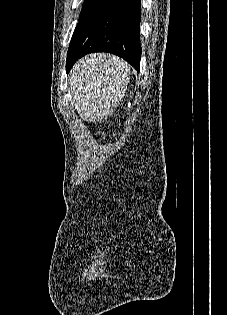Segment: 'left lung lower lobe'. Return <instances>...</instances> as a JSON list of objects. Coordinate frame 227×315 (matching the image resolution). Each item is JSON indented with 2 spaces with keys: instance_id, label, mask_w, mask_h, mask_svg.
<instances>
[{
  "instance_id": "obj_1",
  "label": "left lung lower lobe",
  "mask_w": 227,
  "mask_h": 315,
  "mask_svg": "<svg viewBox=\"0 0 227 315\" xmlns=\"http://www.w3.org/2000/svg\"><path fill=\"white\" fill-rule=\"evenodd\" d=\"M140 3L141 0H97L75 28L68 49L67 73L78 59L94 52L117 55L139 72Z\"/></svg>"
}]
</instances>
